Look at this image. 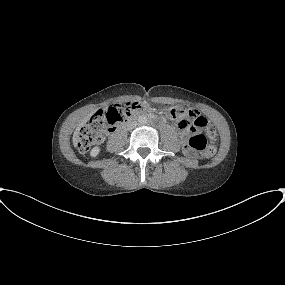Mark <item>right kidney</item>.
I'll list each match as a JSON object with an SVG mask.
<instances>
[{"instance_id":"obj_1","label":"right kidney","mask_w":285,"mask_h":285,"mask_svg":"<svg viewBox=\"0 0 285 285\" xmlns=\"http://www.w3.org/2000/svg\"><path fill=\"white\" fill-rule=\"evenodd\" d=\"M100 152V147H94L92 150H91V156L92 157H96Z\"/></svg>"}]
</instances>
